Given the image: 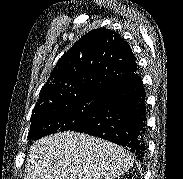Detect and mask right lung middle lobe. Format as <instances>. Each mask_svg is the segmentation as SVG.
I'll list each match as a JSON object with an SVG mask.
<instances>
[{
  "label": "right lung middle lobe",
  "mask_w": 183,
  "mask_h": 179,
  "mask_svg": "<svg viewBox=\"0 0 183 179\" xmlns=\"http://www.w3.org/2000/svg\"><path fill=\"white\" fill-rule=\"evenodd\" d=\"M101 98L102 94H86L35 106L28 140L57 132L76 131L94 116Z\"/></svg>",
  "instance_id": "right-lung-middle-lobe-1"
}]
</instances>
